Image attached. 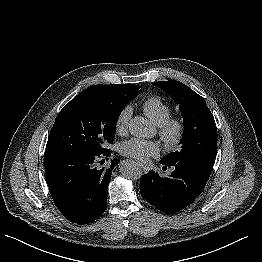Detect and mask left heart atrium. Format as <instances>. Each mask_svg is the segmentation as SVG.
I'll use <instances>...</instances> for the list:
<instances>
[{
    "mask_svg": "<svg viewBox=\"0 0 262 262\" xmlns=\"http://www.w3.org/2000/svg\"><path fill=\"white\" fill-rule=\"evenodd\" d=\"M119 150L125 156L145 161L149 157L158 156L160 153V146L154 141L133 138L122 142Z\"/></svg>",
    "mask_w": 262,
    "mask_h": 262,
    "instance_id": "39dd6f15",
    "label": "left heart atrium"
}]
</instances>
